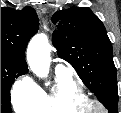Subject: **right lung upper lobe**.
Returning a JSON list of instances; mask_svg holds the SVG:
<instances>
[{
	"instance_id": "obj_1",
	"label": "right lung upper lobe",
	"mask_w": 121,
	"mask_h": 113,
	"mask_svg": "<svg viewBox=\"0 0 121 113\" xmlns=\"http://www.w3.org/2000/svg\"><path fill=\"white\" fill-rule=\"evenodd\" d=\"M38 28L39 20L33 8L25 7L20 11L1 8V58L17 63L28 71L25 49Z\"/></svg>"
}]
</instances>
